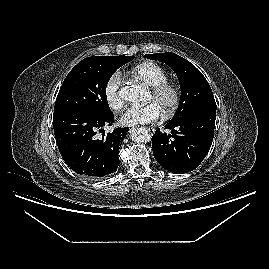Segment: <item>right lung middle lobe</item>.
Instances as JSON below:
<instances>
[{"instance_id":"dd1d6c3e","label":"right lung middle lobe","mask_w":269,"mask_h":269,"mask_svg":"<svg viewBox=\"0 0 269 269\" xmlns=\"http://www.w3.org/2000/svg\"><path fill=\"white\" fill-rule=\"evenodd\" d=\"M134 56H93L83 59L67 75L58 93L54 111L83 109L108 114L106 87L112 74Z\"/></svg>"}]
</instances>
